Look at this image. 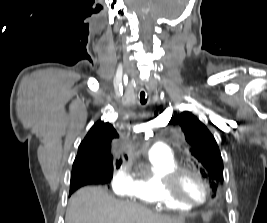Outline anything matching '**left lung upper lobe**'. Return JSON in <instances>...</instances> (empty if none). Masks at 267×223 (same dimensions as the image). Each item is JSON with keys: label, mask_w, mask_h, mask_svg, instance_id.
Instances as JSON below:
<instances>
[{"label": "left lung upper lobe", "mask_w": 267, "mask_h": 223, "mask_svg": "<svg viewBox=\"0 0 267 223\" xmlns=\"http://www.w3.org/2000/svg\"><path fill=\"white\" fill-rule=\"evenodd\" d=\"M179 124L188 143V150L196 160L200 172L216 192L223 184V161L214 136L191 112L179 116Z\"/></svg>", "instance_id": "1"}]
</instances>
